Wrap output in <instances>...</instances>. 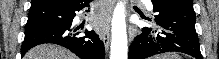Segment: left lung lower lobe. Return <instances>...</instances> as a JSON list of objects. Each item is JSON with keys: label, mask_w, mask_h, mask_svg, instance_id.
I'll return each instance as SVG.
<instances>
[{"label": "left lung lower lobe", "mask_w": 219, "mask_h": 59, "mask_svg": "<svg viewBox=\"0 0 219 59\" xmlns=\"http://www.w3.org/2000/svg\"><path fill=\"white\" fill-rule=\"evenodd\" d=\"M159 29L145 27L129 49L128 59H146L164 52H182L202 59L192 0L152 1Z\"/></svg>", "instance_id": "1"}]
</instances>
